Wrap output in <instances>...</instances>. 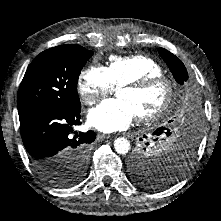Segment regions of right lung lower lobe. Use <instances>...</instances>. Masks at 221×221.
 <instances>
[{
	"label": "right lung lower lobe",
	"mask_w": 221,
	"mask_h": 221,
	"mask_svg": "<svg viewBox=\"0 0 221 221\" xmlns=\"http://www.w3.org/2000/svg\"><path fill=\"white\" fill-rule=\"evenodd\" d=\"M80 118V109L49 105L31 106L19 112L22 141L38 173L61 163L67 152L95 140L93 131L71 135L72 127L82 123Z\"/></svg>",
	"instance_id": "98d812e1"
}]
</instances>
